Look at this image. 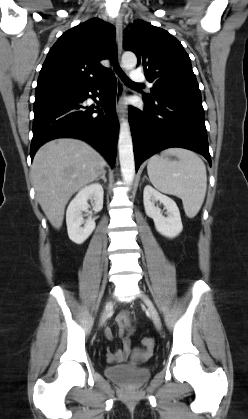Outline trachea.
Segmentation results:
<instances>
[{
  "mask_svg": "<svg viewBox=\"0 0 248 419\" xmlns=\"http://www.w3.org/2000/svg\"><path fill=\"white\" fill-rule=\"evenodd\" d=\"M111 63L113 64L114 69L116 70L117 74L119 75V77L121 78V80H122L125 84H127V85H141V84H138V83H135V82L131 81V80H130L127 76H126V74H125V73L121 70V68L119 67L118 62H117L116 53H114V54L112 55V57H111Z\"/></svg>",
  "mask_w": 248,
  "mask_h": 419,
  "instance_id": "1",
  "label": "trachea"
}]
</instances>
